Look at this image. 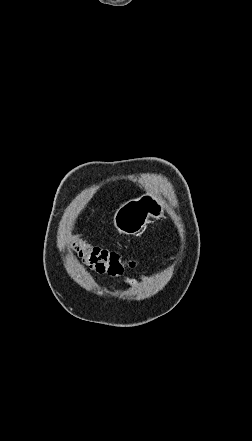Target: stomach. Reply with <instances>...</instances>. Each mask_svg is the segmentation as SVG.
I'll return each instance as SVG.
<instances>
[{"mask_svg":"<svg viewBox=\"0 0 252 441\" xmlns=\"http://www.w3.org/2000/svg\"><path fill=\"white\" fill-rule=\"evenodd\" d=\"M165 202L151 193L129 200L115 212V228L126 235L138 234L148 223L149 218L160 219L165 214Z\"/></svg>","mask_w":252,"mask_h":441,"instance_id":"obj_1","label":"stomach"}]
</instances>
